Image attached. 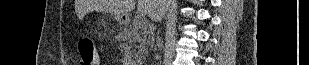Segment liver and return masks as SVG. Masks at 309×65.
<instances>
[{"mask_svg": "<svg viewBox=\"0 0 309 65\" xmlns=\"http://www.w3.org/2000/svg\"><path fill=\"white\" fill-rule=\"evenodd\" d=\"M136 1L139 13L147 14L153 21H159L165 14V2L162 0H81L80 9L127 14L135 8Z\"/></svg>", "mask_w": 309, "mask_h": 65, "instance_id": "6515ba94", "label": "liver"}]
</instances>
